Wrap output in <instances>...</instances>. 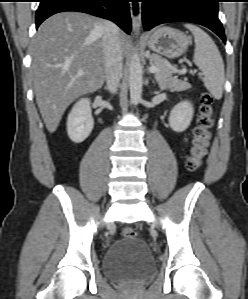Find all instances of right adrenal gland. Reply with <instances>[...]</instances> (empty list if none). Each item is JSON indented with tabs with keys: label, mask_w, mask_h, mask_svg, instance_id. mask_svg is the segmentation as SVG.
Wrapping results in <instances>:
<instances>
[{
	"label": "right adrenal gland",
	"mask_w": 248,
	"mask_h": 299,
	"mask_svg": "<svg viewBox=\"0 0 248 299\" xmlns=\"http://www.w3.org/2000/svg\"><path fill=\"white\" fill-rule=\"evenodd\" d=\"M105 89L107 90V89H108V87H106V86H105Z\"/></svg>",
	"instance_id": "right-adrenal-gland-1"
}]
</instances>
